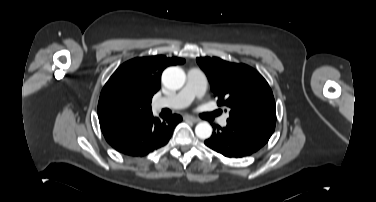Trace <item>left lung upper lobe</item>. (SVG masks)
Instances as JSON below:
<instances>
[{
	"label": "left lung upper lobe",
	"instance_id": "1",
	"mask_svg": "<svg viewBox=\"0 0 376 202\" xmlns=\"http://www.w3.org/2000/svg\"><path fill=\"white\" fill-rule=\"evenodd\" d=\"M208 76L219 106L229 109L228 120L274 132L275 100L266 80L253 68L220 58H197Z\"/></svg>",
	"mask_w": 376,
	"mask_h": 202
}]
</instances>
